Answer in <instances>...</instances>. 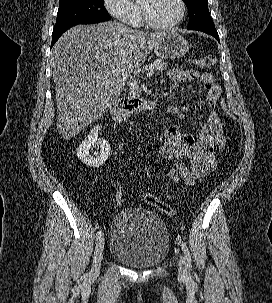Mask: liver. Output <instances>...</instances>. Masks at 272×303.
Instances as JSON below:
<instances>
[{
  "label": "liver",
  "mask_w": 272,
  "mask_h": 303,
  "mask_svg": "<svg viewBox=\"0 0 272 303\" xmlns=\"http://www.w3.org/2000/svg\"><path fill=\"white\" fill-rule=\"evenodd\" d=\"M166 34L131 29L116 21L76 25L66 31L52 48L60 136L70 139L100 118Z\"/></svg>",
  "instance_id": "obj_1"
}]
</instances>
